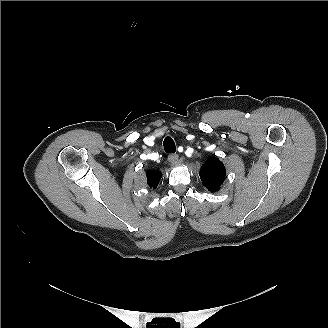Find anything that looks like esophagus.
<instances>
[{"instance_id": "34e87169", "label": "esophagus", "mask_w": 328, "mask_h": 328, "mask_svg": "<svg viewBox=\"0 0 328 328\" xmlns=\"http://www.w3.org/2000/svg\"><path fill=\"white\" fill-rule=\"evenodd\" d=\"M168 162L170 164H176L178 162V155L177 154H174V153L170 154L168 156Z\"/></svg>"}]
</instances>
